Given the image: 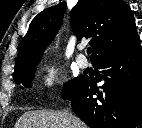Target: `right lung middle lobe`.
<instances>
[{"instance_id":"right-lung-middle-lobe-1","label":"right lung middle lobe","mask_w":142,"mask_h":128,"mask_svg":"<svg viewBox=\"0 0 142 128\" xmlns=\"http://www.w3.org/2000/svg\"><path fill=\"white\" fill-rule=\"evenodd\" d=\"M39 63V60H33L25 64H21L15 67L14 70V81L17 84L22 83L25 87H30L31 80L34 78L35 67ZM83 77L79 76L74 80H71L65 84V88L62 92L64 98L70 99L74 91L81 83Z\"/></svg>"}]
</instances>
